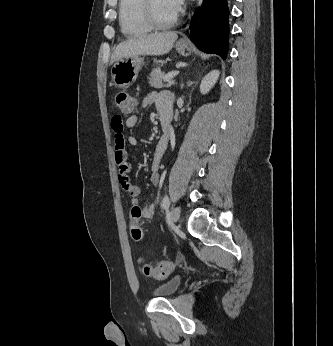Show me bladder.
Masks as SVG:
<instances>
[{
  "label": "bladder",
  "mask_w": 333,
  "mask_h": 346,
  "mask_svg": "<svg viewBox=\"0 0 333 346\" xmlns=\"http://www.w3.org/2000/svg\"><path fill=\"white\" fill-rule=\"evenodd\" d=\"M180 284H181V276L175 275L171 277L170 279H168L167 281H165L164 283L158 285L154 289L153 293L154 295L160 298L170 297L177 291Z\"/></svg>",
  "instance_id": "bladder-1"
}]
</instances>
